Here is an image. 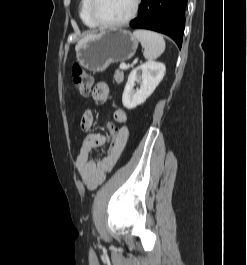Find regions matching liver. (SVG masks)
<instances>
[{
	"label": "liver",
	"instance_id": "6515ba94",
	"mask_svg": "<svg viewBox=\"0 0 247 265\" xmlns=\"http://www.w3.org/2000/svg\"><path fill=\"white\" fill-rule=\"evenodd\" d=\"M94 36H95L94 34L87 35L86 37H84L83 39H81V40L78 42V44L76 45V48H77V46H78L81 42H83V41H85V40H87V39H89V38H91V37H94Z\"/></svg>",
	"mask_w": 247,
	"mask_h": 265
}]
</instances>
